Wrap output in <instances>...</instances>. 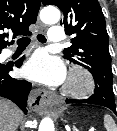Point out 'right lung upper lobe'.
<instances>
[{"label":"right lung upper lobe","mask_w":117,"mask_h":131,"mask_svg":"<svg viewBox=\"0 0 117 131\" xmlns=\"http://www.w3.org/2000/svg\"><path fill=\"white\" fill-rule=\"evenodd\" d=\"M40 8L39 0H0V52L8 42V34L4 30H11L13 38L19 35H31L28 28L36 22Z\"/></svg>","instance_id":"obj_1"}]
</instances>
